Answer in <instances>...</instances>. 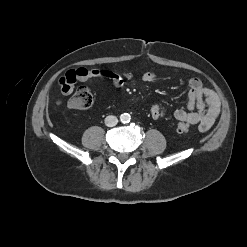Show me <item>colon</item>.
Masks as SVG:
<instances>
[{
    "instance_id": "obj_1",
    "label": "colon",
    "mask_w": 247,
    "mask_h": 247,
    "mask_svg": "<svg viewBox=\"0 0 247 247\" xmlns=\"http://www.w3.org/2000/svg\"><path fill=\"white\" fill-rule=\"evenodd\" d=\"M69 104L75 109H88L93 105V95L87 87L80 86L69 100ZM176 130L179 133H187L189 131V124L179 122L176 125Z\"/></svg>"
}]
</instances>
